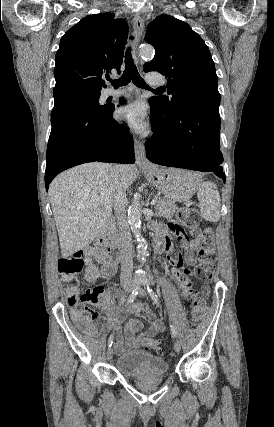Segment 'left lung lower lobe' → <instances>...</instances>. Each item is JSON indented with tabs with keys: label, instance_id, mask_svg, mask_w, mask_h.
Instances as JSON below:
<instances>
[{
	"label": "left lung lower lobe",
	"instance_id": "obj_1",
	"mask_svg": "<svg viewBox=\"0 0 274 427\" xmlns=\"http://www.w3.org/2000/svg\"><path fill=\"white\" fill-rule=\"evenodd\" d=\"M149 104L154 136L146 142V157L164 166L214 172L225 182L219 110L189 105L167 111L151 98Z\"/></svg>",
	"mask_w": 274,
	"mask_h": 427
}]
</instances>
